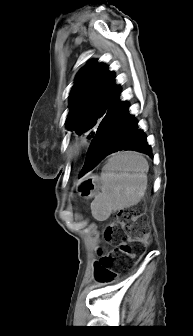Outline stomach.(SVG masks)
I'll list each match as a JSON object with an SVG mask.
<instances>
[{
	"instance_id": "stomach-1",
	"label": "stomach",
	"mask_w": 193,
	"mask_h": 336,
	"mask_svg": "<svg viewBox=\"0 0 193 336\" xmlns=\"http://www.w3.org/2000/svg\"><path fill=\"white\" fill-rule=\"evenodd\" d=\"M101 181L98 176L92 175L79 180L77 184L78 193L80 196L89 199L99 193Z\"/></svg>"
}]
</instances>
